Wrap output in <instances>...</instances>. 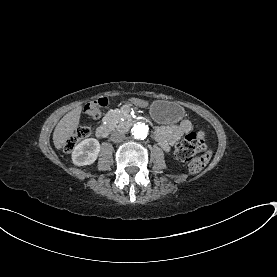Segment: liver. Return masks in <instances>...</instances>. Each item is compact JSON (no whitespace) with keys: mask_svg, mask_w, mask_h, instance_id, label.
I'll list each match as a JSON object with an SVG mask.
<instances>
[{"mask_svg":"<svg viewBox=\"0 0 277 277\" xmlns=\"http://www.w3.org/2000/svg\"><path fill=\"white\" fill-rule=\"evenodd\" d=\"M83 106L69 111L57 124L53 133V143L57 150L67 143L73 133L79 128Z\"/></svg>","mask_w":277,"mask_h":277,"instance_id":"6515ba94","label":"liver"}]
</instances>
